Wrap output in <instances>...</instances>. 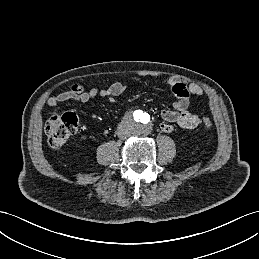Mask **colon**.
Instances as JSON below:
<instances>
[{"instance_id":"1","label":"colon","mask_w":259,"mask_h":259,"mask_svg":"<svg viewBox=\"0 0 259 259\" xmlns=\"http://www.w3.org/2000/svg\"><path fill=\"white\" fill-rule=\"evenodd\" d=\"M202 125L205 129L212 127V120L209 117L202 119ZM78 119L73 113H65L51 117L45 125V133L48 143L53 148L63 147L68 139L76 132Z\"/></svg>"}]
</instances>
